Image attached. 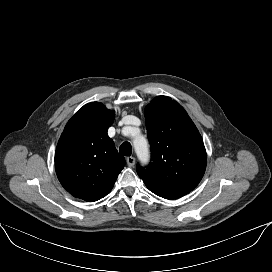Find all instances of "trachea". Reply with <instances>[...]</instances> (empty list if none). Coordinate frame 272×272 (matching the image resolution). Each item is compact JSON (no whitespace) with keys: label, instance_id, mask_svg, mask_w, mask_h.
I'll use <instances>...</instances> for the list:
<instances>
[{"label":"trachea","instance_id":"trachea-1","mask_svg":"<svg viewBox=\"0 0 272 272\" xmlns=\"http://www.w3.org/2000/svg\"><path fill=\"white\" fill-rule=\"evenodd\" d=\"M119 152L124 155V156H130L132 153V147L131 144L129 142H124L120 148H119Z\"/></svg>","mask_w":272,"mask_h":272}]
</instances>
